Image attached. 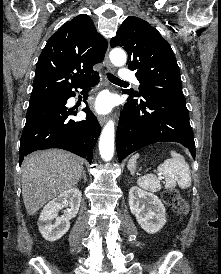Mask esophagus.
<instances>
[{
  "label": "esophagus",
  "mask_w": 221,
  "mask_h": 274,
  "mask_svg": "<svg viewBox=\"0 0 221 274\" xmlns=\"http://www.w3.org/2000/svg\"><path fill=\"white\" fill-rule=\"evenodd\" d=\"M105 63H106L107 69L111 73H115L116 70H115V68L113 67V65L109 61L108 51H107V53L105 55ZM98 121H99L100 125L103 126L106 123V121H107V117H105V116H99L98 117Z\"/></svg>",
  "instance_id": "34e87169"
}]
</instances>
